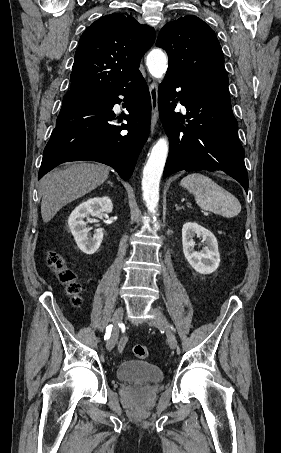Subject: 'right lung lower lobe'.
Returning <instances> with one entry per match:
<instances>
[{
    "label": "right lung lower lobe",
    "mask_w": 281,
    "mask_h": 453,
    "mask_svg": "<svg viewBox=\"0 0 281 453\" xmlns=\"http://www.w3.org/2000/svg\"><path fill=\"white\" fill-rule=\"evenodd\" d=\"M119 95L129 112L123 126L111 123L117 121L112 108L122 101ZM150 117L149 89L139 70L115 88L70 91L44 149L38 179L61 163L79 160L104 163L129 179L148 138Z\"/></svg>",
    "instance_id": "obj_1"
}]
</instances>
